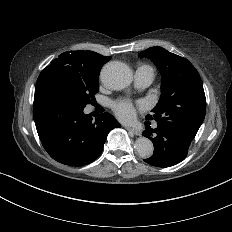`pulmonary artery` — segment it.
Returning a JSON list of instances; mask_svg holds the SVG:
<instances>
[{
    "label": "pulmonary artery",
    "instance_id": "pulmonary-artery-1",
    "mask_svg": "<svg viewBox=\"0 0 232 232\" xmlns=\"http://www.w3.org/2000/svg\"><path fill=\"white\" fill-rule=\"evenodd\" d=\"M153 80V69L149 65H142L138 69V77L136 78V85L140 89H147Z\"/></svg>",
    "mask_w": 232,
    "mask_h": 232
}]
</instances>
